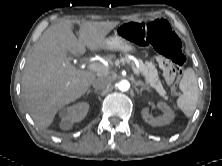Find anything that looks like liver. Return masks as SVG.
<instances>
[{
    "mask_svg": "<svg viewBox=\"0 0 222 166\" xmlns=\"http://www.w3.org/2000/svg\"><path fill=\"white\" fill-rule=\"evenodd\" d=\"M73 20H63L44 31L27 58L22 93L27 110L41 129L49 127L56 113L88 90L96 78L91 71L76 70L68 53L84 54L104 48L106 35L119 21H83L79 39ZM109 58H113L110 56Z\"/></svg>",
    "mask_w": 222,
    "mask_h": 166,
    "instance_id": "1",
    "label": "liver"
}]
</instances>
